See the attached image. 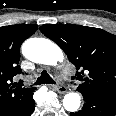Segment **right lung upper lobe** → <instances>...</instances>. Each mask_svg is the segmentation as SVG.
I'll use <instances>...</instances> for the list:
<instances>
[{
	"label": "right lung upper lobe",
	"mask_w": 116,
	"mask_h": 116,
	"mask_svg": "<svg viewBox=\"0 0 116 116\" xmlns=\"http://www.w3.org/2000/svg\"><path fill=\"white\" fill-rule=\"evenodd\" d=\"M37 30L36 25L0 27V116H15L33 98L35 88L12 84L15 75L23 73L20 65V47Z\"/></svg>",
	"instance_id": "cb5924a9"
}]
</instances>
